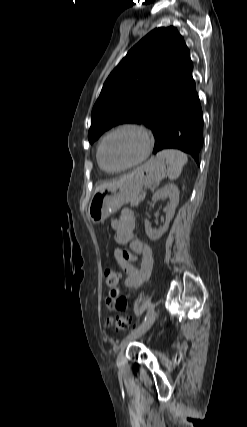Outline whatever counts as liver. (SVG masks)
Instances as JSON below:
<instances>
[{"mask_svg": "<svg viewBox=\"0 0 247 427\" xmlns=\"http://www.w3.org/2000/svg\"><path fill=\"white\" fill-rule=\"evenodd\" d=\"M130 175H131V174H129V175H124L123 177H121V178H120L119 180H117V181L108 182V183H103V184H101L100 186H98V187L96 188V191H98V190H100V189H103V188H110V187H113V186L117 185L118 183H120L121 181H123V180L127 179Z\"/></svg>", "mask_w": 247, "mask_h": 427, "instance_id": "liver-1", "label": "liver"}]
</instances>
